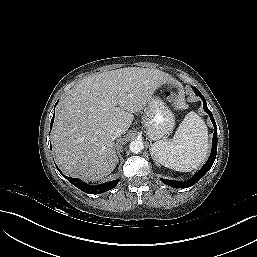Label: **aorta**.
I'll return each instance as SVG.
<instances>
[{"mask_svg":"<svg viewBox=\"0 0 257 257\" xmlns=\"http://www.w3.org/2000/svg\"><path fill=\"white\" fill-rule=\"evenodd\" d=\"M129 149L132 153L138 154L144 149V144L141 140H134L129 144Z\"/></svg>","mask_w":257,"mask_h":257,"instance_id":"aorta-1","label":"aorta"}]
</instances>
